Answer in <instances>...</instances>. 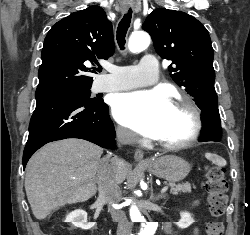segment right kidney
I'll list each match as a JSON object with an SVG mask.
<instances>
[{"label":"right kidney","instance_id":"1","mask_svg":"<svg viewBox=\"0 0 250 235\" xmlns=\"http://www.w3.org/2000/svg\"><path fill=\"white\" fill-rule=\"evenodd\" d=\"M65 221L83 230H89L94 226L93 222H87V213L82 209L74 210L73 212L69 213L66 216Z\"/></svg>","mask_w":250,"mask_h":235}]
</instances>
